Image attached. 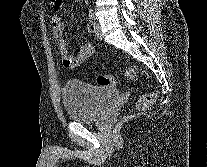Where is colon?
<instances>
[{
    "instance_id": "obj_1",
    "label": "colon",
    "mask_w": 207,
    "mask_h": 167,
    "mask_svg": "<svg viewBox=\"0 0 207 167\" xmlns=\"http://www.w3.org/2000/svg\"><path fill=\"white\" fill-rule=\"evenodd\" d=\"M125 75L129 79H134L136 76L135 71L132 68H128L125 71ZM96 82L98 85L103 87H113L117 84L118 80L116 77L107 76V75H99L96 78ZM157 99V94L155 92H149L140 97V99L135 104V109L138 111L145 110L152 106Z\"/></svg>"
}]
</instances>
